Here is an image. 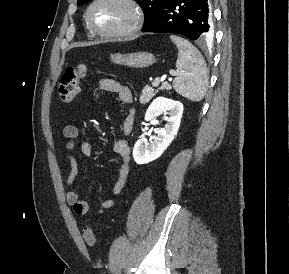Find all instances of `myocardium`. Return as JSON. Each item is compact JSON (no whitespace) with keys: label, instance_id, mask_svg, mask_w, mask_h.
Masks as SVG:
<instances>
[{"label":"myocardium","instance_id":"f54148a6","mask_svg":"<svg viewBox=\"0 0 289 274\" xmlns=\"http://www.w3.org/2000/svg\"><path fill=\"white\" fill-rule=\"evenodd\" d=\"M105 0H92L85 12V21L88 29L95 35L104 38H123L136 33L143 25L144 13L137 0H116L125 4L131 11V21L125 27L114 31H103L97 29L91 22L90 14L95 5Z\"/></svg>","mask_w":289,"mask_h":274}]
</instances>
